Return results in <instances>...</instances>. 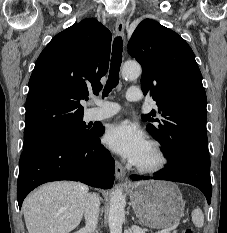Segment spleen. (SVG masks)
<instances>
[{"instance_id": "3e777b00", "label": "spleen", "mask_w": 227, "mask_h": 233, "mask_svg": "<svg viewBox=\"0 0 227 233\" xmlns=\"http://www.w3.org/2000/svg\"><path fill=\"white\" fill-rule=\"evenodd\" d=\"M192 221L194 223V225L198 228L202 227L203 226V223H204V215H203V212L202 210L200 209H195L193 212H192Z\"/></svg>"}]
</instances>
